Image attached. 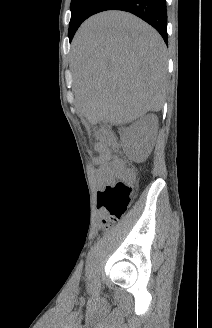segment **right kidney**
<instances>
[{"label": "right kidney", "instance_id": "right-kidney-1", "mask_svg": "<svg viewBox=\"0 0 212 328\" xmlns=\"http://www.w3.org/2000/svg\"><path fill=\"white\" fill-rule=\"evenodd\" d=\"M157 128L158 118L154 114L143 116L130 127V149L133 155L138 154L147 145Z\"/></svg>", "mask_w": 212, "mask_h": 328}]
</instances>
